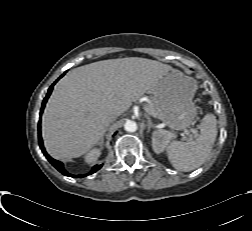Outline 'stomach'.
Returning a JSON list of instances; mask_svg holds the SVG:
<instances>
[{
  "mask_svg": "<svg viewBox=\"0 0 252 231\" xmlns=\"http://www.w3.org/2000/svg\"><path fill=\"white\" fill-rule=\"evenodd\" d=\"M196 90L193 78L172 68L163 73L151 90L157 117L172 130L189 128L197 114Z\"/></svg>",
  "mask_w": 252,
  "mask_h": 231,
  "instance_id": "stomach-1",
  "label": "stomach"
}]
</instances>
